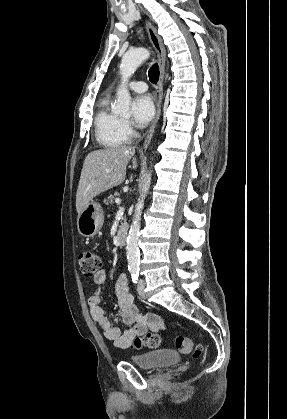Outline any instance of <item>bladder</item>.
Listing matches in <instances>:
<instances>
[{
	"instance_id": "bladder-1",
	"label": "bladder",
	"mask_w": 287,
	"mask_h": 419,
	"mask_svg": "<svg viewBox=\"0 0 287 419\" xmlns=\"http://www.w3.org/2000/svg\"><path fill=\"white\" fill-rule=\"evenodd\" d=\"M180 357L170 349H160L131 358V362L142 369L160 370L177 364Z\"/></svg>"
}]
</instances>
